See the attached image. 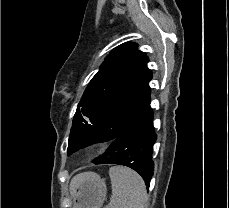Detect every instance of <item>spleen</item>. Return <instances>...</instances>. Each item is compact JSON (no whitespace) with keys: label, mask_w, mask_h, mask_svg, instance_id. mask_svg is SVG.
<instances>
[{"label":"spleen","mask_w":229,"mask_h":208,"mask_svg":"<svg viewBox=\"0 0 229 208\" xmlns=\"http://www.w3.org/2000/svg\"><path fill=\"white\" fill-rule=\"evenodd\" d=\"M112 196L108 208H145L147 202L146 186L139 174L113 166L109 170Z\"/></svg>","instance_id":"1"}]
</instances>
